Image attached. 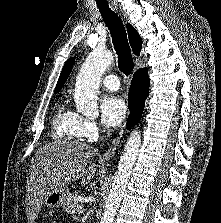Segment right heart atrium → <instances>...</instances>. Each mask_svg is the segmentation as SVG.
Instances as JSON below:
<instances>
[{
	"label": "right heart atrium",
	"instance_id": "d8ad5b80",
	"mask_svg": "<svg viewBox=\"0 0 221 223\" xmlns=\"http://www.w3.org/2000/svg\"><path fill=\"white\" fill-rule=\"evenodd\" d=\"M77 129L80 137L85 139H92L96 137L99 132L98 124L91 119L78 115Z\"/></svg>",
	"mask_w": 221,
	"mask_h": 223
}]
</instances>
